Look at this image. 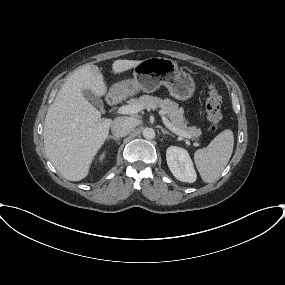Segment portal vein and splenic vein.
I'll return each instance as SVG.
<instances>
[{"label":"portal vein and splenic vein","instance_id":"portal-vein-and-splenic-vein-1","mask_svg":"<svg viewBox=\"0 0 285 285\" xmlns=\"http://www.w3.org/2000/svg\"><path fill=\"white\" fill-rule=\"evenodd\" d=\"M143 109V107L140 105V104H131V105H125V106H122L120 107L118 110H117V113L118 114H136L138 112H140L141 110ZM159 115L161 116V119L163 121V123L165 124V126L170 130L172 131L173 133L177 134V135H180L182 137H185V138H190V136L185 133L184 131L176 128L168 119L167 117L164 115V112L163 111H159Z\"/></svg>","mask_w":285,"mask_h":285}]
</instances>
